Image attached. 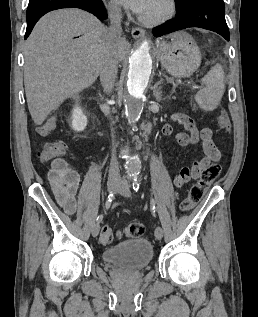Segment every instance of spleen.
<instances>
[{"instance_id":"spleen-1","label":"spleen","mask_w":258,"mask_h":317,"mask_svg":"<svg viewBox=\"0 0 258 317\" xmlns=\"http://www.w3.org/2000/svg\"><path fill=\"white\" fill-rule=\"evenodd\" d=\"M205 88L199 90L195 96L200 108L214 110L221 102L225 90L224 70L221 64H215L202 78Z\"/></svg>"}]
</instances>
